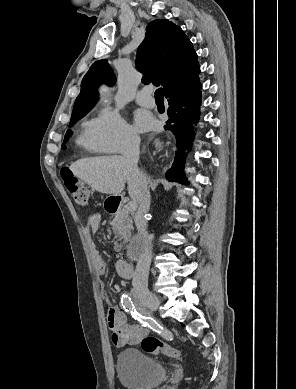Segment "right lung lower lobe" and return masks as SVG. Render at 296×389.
<instances>
[{"instance_id":"98d812e1","label":"right lung lower lobe","mask_w":296,"mask_h":389,"mask_svg":"<svg viewBox=\"0 0 296 389\" xmlns=\"http://www.w3.org/2000/svg\"><path fill=\"white\" fill-rule=\"evenodd\" d=\"M201 84L178 85L171 87L165 96L168 98L169 120L165 129L170 130L176 139L175 158L165 176L169 181L186 184L183 167L186 149L190 150L194 137V121H199L201 105Z\"/></svg>"}]
</instances>
